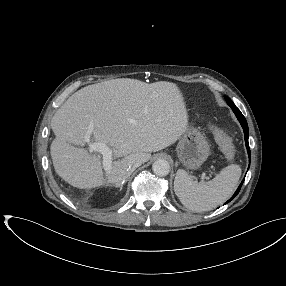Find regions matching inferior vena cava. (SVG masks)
<instances>
[{
	"label": "inferior vena cava",
	"instance_id": "602c4592",
	"mask_svg": "<svg viewBox=\"0 0 286 286\" xmlns=\"http://www.w3.org/2000/svg\"><path fill=\"white\" fill-rule=\"evenodd\" d=\"M142 164V161L140 159H134L130 162L128 173L130 174L133 172L136 168H138Z\"/></svg>",
	"mask_w": 286,
	"mask_h": 286
}]
</instances>
